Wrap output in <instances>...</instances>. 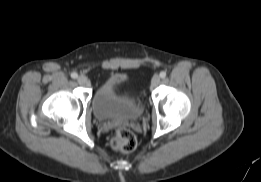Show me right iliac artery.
Listing matches in <instances>:
<instances>
[{
	"instance_id": "1",
	"label": "right iliac artery",
	"mask_w": 261,
	"mask_h": 182,
	"mask_svg": "<svg viewBox=\"0 0 261 182\" xmlns=\"http://www.w3.org/2000/svg\"><path fill=\"white\" fill-rule=\"evenodd\" d=\"M71 77H72L73 79H76V78L78 77V74L75 73V72H73V73H71Z\"/></svg>"
}]
</instances>
